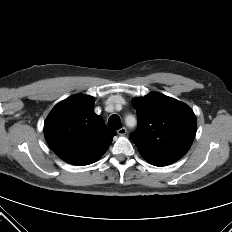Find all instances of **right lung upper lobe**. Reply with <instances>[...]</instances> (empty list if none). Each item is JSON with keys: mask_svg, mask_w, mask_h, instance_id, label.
<instances>
[{"mask_svg": "<svg viewBox=\"0 0 232 232\" xmlns=\"http://www.w3.org/2000/svg\"><path fill=\"white\" fill-rule=\"evenodd\" d=\"M93 106V97L73 95L59 102L45 121L47 143L67 163L84 166L96 162L116 135Z\"/></svg>", "mask_w": 232, "mask_h": 232, "instance_id": "right-lung-upper-lobe-1", "label": "right lung upper lobe"}]
</instances>
